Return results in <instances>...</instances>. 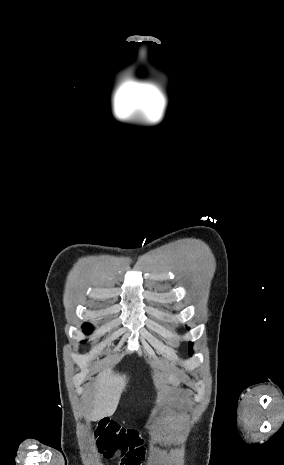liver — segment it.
<instances>
[{
  "label": "liver",
  "mask_w": 284,
  "mask_h": 465,
  "mask_svg": "<svg viewBox=\"0 0 284 465\" xmlns=\"http://www.w3.org/2000/svg\"><path fill=\"white\" fill-rule=\"evenodd\" d=\"M166 377L165 383L178 387L180 379L176 377L175 373H168ZM126 385V375H116L112 369L101 371L95 385L92 409L89 415H87L88 421H100L104 417L114 415ZM157 403H160V397H158Z\"/></svg>",
  "instance_id": "liver-1"
}]
</instances>
